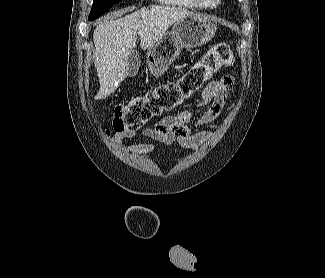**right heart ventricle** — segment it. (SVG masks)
Returning a JSON list of instances; mask_svg holds the SVG:
<instances>
[{"label": "right heart ventricle", "instance_id": "right-heart-ventricle-1", "mask_svg": "<svg viewBox=\"0 0 325 278\" xmlns=\"http://www.w3.org/2000/svg\"><path fill=\"white\" fill-rule=\"evenodd\" d=\"M159 2L176 6L184 9H190V10H201L205 9V7L201 4L199 0H158Z\"/></svg>", "mask_w": 325, "mask_h": 278}]
</instances>
